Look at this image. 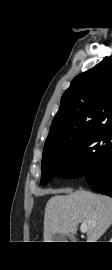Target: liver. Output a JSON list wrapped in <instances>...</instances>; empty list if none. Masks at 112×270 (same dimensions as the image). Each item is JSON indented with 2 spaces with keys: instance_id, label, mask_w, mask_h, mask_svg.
<instances>
[{
  "instance_id": "6515ba94",
  "label": "liver",
  "mask_w": 112,
  "mask_h": 270,
  "mask_svg": "<svg viewBox=\"0 0 112 270\" xmlns=\"http://www.w3.org/2000/svg\"><path fill=\"white\" fill-rule=\"evenodd\" d=\"M66 193L51 197L45 207L44 242H53L56 233L76 235L81 223L88 224L87 242H97L112 224V198L89 191L57 190Z\"/></svg>"
}]
</instances>
